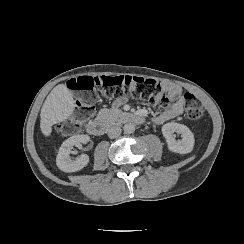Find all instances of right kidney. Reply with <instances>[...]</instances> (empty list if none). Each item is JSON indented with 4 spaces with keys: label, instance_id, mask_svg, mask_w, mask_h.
I'll use <instances>...</instances> for the list:
<instances>
[{
    "label": "right kidney",
    "instance_id": "right-kidney-1",
    "mask_svg": "<svg viewBox=\"0 0 244 244\" xmlns=\"http://www.w3.org/2000/svg\"><path fill=\"white\" fill-rule=\"evenodd\" d=\"M89 141L90 137L88 135H74L65 140L56 158L58 168L63 172H75L85 167L89 162L88 155L82 154L73 161L70 159V153L74 145L79 146L81 143L86 144Z\"/></svg>",
    "mask_w": 244,
    "mask_h": 244
}]
</instances>
